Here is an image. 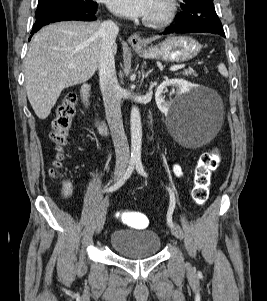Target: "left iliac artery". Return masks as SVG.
<instances>
[{
    "instance_id": "left-iliac-artery-1",
    "label": "left iliac artery",
    "mask_w": 267,
    "mask_h": 301,
    "mask_svg": "<svg viewBox=\"0 0 267 301\" xmlns=\"http://www.w3.org/2000/svg\"><path fill=\"white\" fill-rule=\"evenodd\" d=\"M136 169L140 175L148 177L146 172L144 171L143 164L141 161H136ZM167 190L169 191V195H170V206H169L168 213H167V222H168L169 226H171L173 224L172 214H173V211L175 208V203H176L175 200L176 199H175V194H174L173 190L170 187H167Z\"/></svg>"
}]
</instances>
